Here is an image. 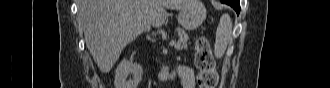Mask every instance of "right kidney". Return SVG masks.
<instances>
[{
	"label": "right kidney",
	"mask_w": 330,
	"mask_h": 88,
	"mask_svg": "<svg viewBox=\"0 0 330 88\" xmlns=\"http://www.w3.org/2000/svg\"><path fill=\"white\" fill-rule=\"evenodd\" d=\"M132 74L133 78L127 80V77ZM143 74L142 67L137 63H130L123 59L117 66L115 71V88H137Z\"/></svg>",
	"instance_id": "1"
}]
</instances>
